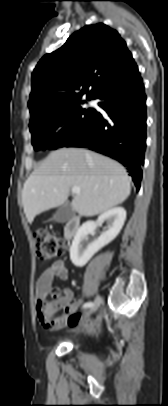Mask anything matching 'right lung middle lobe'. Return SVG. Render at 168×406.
<instances>
[{
    "label": "right lung middle lobe",
    "mask_w": 168,
    "mask_h": 406,
    "mask_svg": "<svg viewBox=\"0 0 168 406\" xmlns=\"http://www.w3.org/2000/svg\"><path fill=\"white\" fill-rule=\"evenodd\" d=\"M90 100V99H89ZM79 102L55 114L30 123L34 150L63 147L70 139L83 131L92 121L96 110L83 108ZM65 124L63 131L56 134L55 130Z\"/></svg>",
    "instance_id": "obj_1"
}]
</instances>
